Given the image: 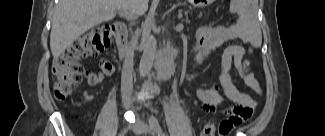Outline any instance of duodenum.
Returning <instances> with one entry per match:
<instances>
[{"label":"duodenum","mask_w":325,"mask_h":136,"mask_svg":"<svg viewBox=\"0 0 325 136\" xmlns=\"http://www.w3.org/2000/svg\"><path fill=\"white\" fill-rule=\"evenodd\" d=\"M115 29L117 32V42L118 49L122 53L123 56H126L130 51V45L127 38V30L126 26L122 23L115 24Z\"/></svg>","instance_id":"duodenum-1"}]
</instances>
